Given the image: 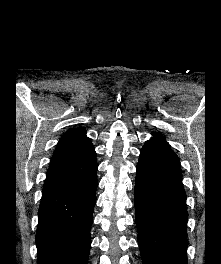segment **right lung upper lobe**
I'll list each match as a JSON object with an SVG mask.
<instances>
[{
    "instance_id": "obj_1",
    "label": "right lung upper lobe",
    "mask_w": 221,
    "mask_h": 264,
    "mask_svg": "<svg viewBox=\"0 0 221 264\" xmlns=\"http://www.w3.org/2000/svg\"><path fill=\"white\" fill-rule=\"evenodd\" d=\"M94 152L91 140L84 128L70 129L63 134L56 146L50 165H56L85 157Z\"/></svg>"
}]
</instances>
